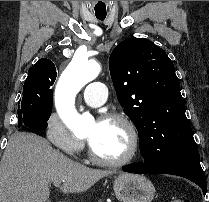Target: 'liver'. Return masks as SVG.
Returning a JSON list of instances; mask_svg holds the SVG:
<instances>
[{
	"instance_id": "1",
	"label": "liver",
	"mask_w": 209,
	"mask_h": 202,
	"mask_svg": "<svg viewBox=\"0 0 209 202\" xmlns=\"http://www.w3.org/2000/svg\"><path fill=\"white\" fill-rule=\"evenodd\" d=\"M111 174L72 161L39 135L15 132L0 162V202H46L54 181L65 193H82Z\"/></svg>"
}]
</instances>
